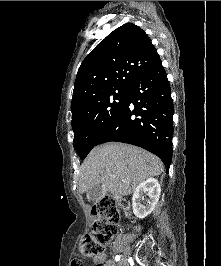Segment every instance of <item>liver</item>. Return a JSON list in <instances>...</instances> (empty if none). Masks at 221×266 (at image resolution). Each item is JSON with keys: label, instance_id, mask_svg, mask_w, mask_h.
I'll list each match as a JSON object with an SVG mask.
<instances>
[{"label": "liver", "instance_id": "1", "mask_svg": "<svg viewBox=\"0 0 221 266\" xmlns=\"http://www.w3.org/2000/svg\"><path fill=\"white\" fill-rule=\"evenodd\" d=\"M162 161L136 146L111 142L91 150L80 170L79 190L89 191L101 184L115 196L131 194L146 178L159 176ZM114 175L115 177H112Z\"/></svg>", "mask_w": 221, "mask_h": 266}]
</instances>
